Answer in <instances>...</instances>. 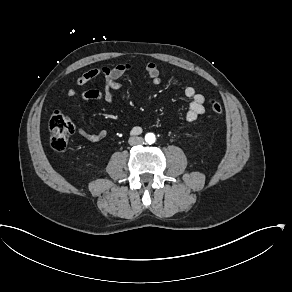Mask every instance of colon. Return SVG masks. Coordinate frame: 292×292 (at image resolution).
<instances>
[{"label":"colon","mask_w":292,"mask_h":292,"mask_svg":"<svg viewBox=\"0 0 292 292\" xmlns=\"http://www.w3.org/2000/svg\"><path fill=\"white\" fill-rule=\"evenodd\" d=\"M208 107L216 115L223 113V107L216 98L208 100ZM49 131V142L52 150L62 152L74 132V126L61 111L55 110L49 120Z\"/></svg>","instance_id":"obj_1"}]
</instances>
